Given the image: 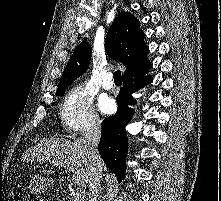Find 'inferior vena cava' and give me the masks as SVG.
I'll list each match as a JSON object with an SVG mask.
<instances>
[{"mask_svg": "<svg viewBox=\"0 0 221 201\" xmlns=\"http://www.w3.org/2000/svg\"><path fill=\"white\" fill-rule=\"evenodd\" d=\"M83 136L87 142L91 165L88 199L89 201H98L102 180V160L97 149L101 137V121L98 118H93L83 132Z\"/></svg>", "mask_w": 221, "mask_h": 201, "instance_id": "602c4592", "label": "inferior vena cava"}]
</instances>
